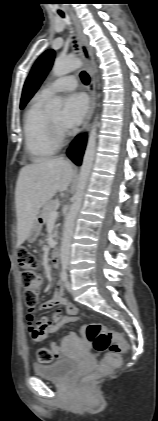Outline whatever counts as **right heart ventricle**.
<instances>
[{"label": "right heart ventricle", "instance_id": "right-heart-ventricle-1", "mask_svg": "<svg viewBox=\"0 0 158 421\" xmlns=\"http://www.w3.org/2000/svg\"><path fill=\"white\" fill-rule=\"evenodd\" d=\"M46 100L47 97L38 93L31 101L25 114V148L35 162L48 158L58 148L49 135L48 114L44 108Z\"/></svg>", "mask_w": 158, "mask_h": 421}]
</instances>
